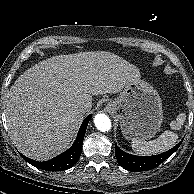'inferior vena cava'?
Listing matches in <instances>:
<instances>
[{
	"label": "inferior vena cava",
	"mask_w": 194,
	"mask_h": 194,
	"mask_svg": "<svg viewBox=\"0 0 194 194\" xmlns=\"http://www.w3.org/2000/svg\"><path fill=\"white\" fill-rule=\"evenodd\" d=\"M86 109H87V107H86L85 105H80V106H79V110H80L81 112H85Z\"/></svg>",
	"instance_id": "602c4592"
}]
</instances>
